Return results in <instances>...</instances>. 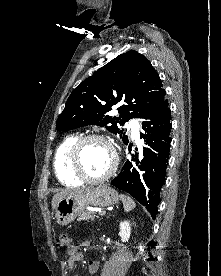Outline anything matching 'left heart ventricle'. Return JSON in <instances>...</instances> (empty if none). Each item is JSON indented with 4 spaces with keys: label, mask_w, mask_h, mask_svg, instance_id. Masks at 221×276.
I'll return each mask as SVG.
<instances>
[{
    "label": "left heart ventricle",
    "mask_w": 221,
    "mask_h": 276,
    "mask_svg": "<svg viewBox=\"0 0 221 276\" xmlns=\"http://www.w3.org/2000/svg\"><path fill=\"white\" fill-rule=\"evenodd\" d=\"M80 159L85 173L91 177H98L111 167L113 154L105 143L94 140L83 145Z\"/></svg>",
    "instance_id": "1"
}]
</instances>
